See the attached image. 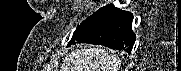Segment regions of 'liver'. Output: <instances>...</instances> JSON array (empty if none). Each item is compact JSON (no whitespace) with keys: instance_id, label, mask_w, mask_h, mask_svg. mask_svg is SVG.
<instances>
[{"instance_id":"liver-1","label":"liver","mask_w":181,"mask_h":71,"mask_svg":"<svg viewBox=\"0 0 181 71\" xmlns=\"http://www.w3.org/2000/svg\"><path fill=\"white\" fill-rule=\"evenodd\" d=\"M121 61L99 47H84L69 53L61 71H118Z\"/></svg>"}]
</instances>
